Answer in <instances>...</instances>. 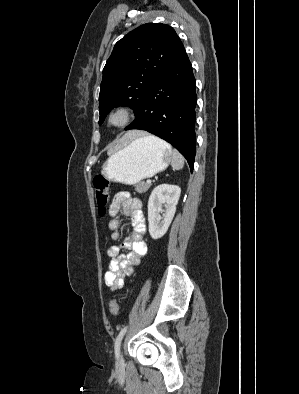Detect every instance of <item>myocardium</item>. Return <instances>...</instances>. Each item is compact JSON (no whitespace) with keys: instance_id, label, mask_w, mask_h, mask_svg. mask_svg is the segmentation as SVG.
Listing matches in <instances>:
<instances>
[{"instance_id":"1","label":"myocardium","mask_w":299,"mask_h":394,"mask_svg":"<svg viewBox=\"0 0 299 394\" xmlns=\"http://www.w3.org/2000/svg\"><path fill=\"white\" fill-rule=\"evenodd\" d=\"M133 117L132 109L127 105H119L113 108L107 115V125L114 130H121L127 127Z\"/></svg>"}]
</instances>
